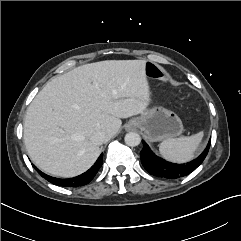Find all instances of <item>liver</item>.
Wrapping results in <instances>:
<instances>
[{
  "instance_id": "obj_1",
  "label": "liver",
  "mask_w": 241,
  "mask_h": 241,
  "mask_svg": "<svg viewBox=\"0 0 241 241\" xmlns=\"http://www.w3.org/2000/svg\"><path fill=\"white\" fill-rule=\"evenodd\" d=\"M144 60H106L51 79L29 105L24 143L43 172L63 178L88 170L100 154L96 131L115 136L121 119L143 113L150 102Z\"/></svg>"
}]
</instances>
